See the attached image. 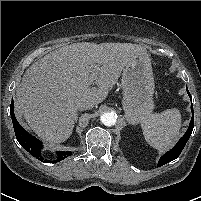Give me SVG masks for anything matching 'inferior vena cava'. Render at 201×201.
I'll list each match as a JSON object with an SVG mask.
<instances>
[{
	"label": "inferior vena cava",
	"mask_w": 201,
	"mask_h": 201,
	"mask_svg": "<svg viewBox=\"0 0 201 201\" xmlns=\"http://www.w3.org/2000/svg\"><path fill=\"white\" fill-rule=\"evenodd\" d=\"M94 107V102L89 100H83L78 103V109L79 110H87L92 109Z\"/></svg>",
	"instance_id": "602c4592"
}]
</instances>
